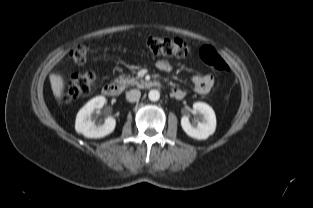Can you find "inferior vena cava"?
Masks as SVG:
<instances>
[{
    "instance_id": "1",
    "label": "inferior vena cava",
    "mask_w": 313,
    "mask_h": 208,
    "mask_svg": "<svg viewBox=\"0 0 313 208\" xmlns=\"http://www.w3.org/2000/svg\"><path fill=\"white\" fill-rule=\"evenodd\" d=\"M140 96H141V92L139 90H136V89L130 90L126 93V99L129 102L139 101Z\"/></svg>"
}]
</instances>
